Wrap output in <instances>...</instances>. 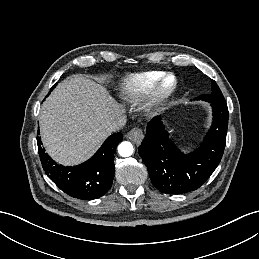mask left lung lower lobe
Returning <instances> with one entry per match:
<instances>
[{
	"instance_id": "1",
	"label": "left lung lower lobe",
	"mask_w": 259,
	"mask_h": 259,
	"mask_svg": "<svg viewBox=\"0 0 259 259\" xmlns=\"http://www.w3.org/2000/svg\"><path fill=\"white\" fill-rule=\"evenodd\" d=\"M211 106L212 126L201 146L190 154L180 152L169 139L159 117L148 123L138 151L152 184L161 192L182 194L196 190L219 165L226 144L229 112L226 102Z\"/></svg>"
}]
</instances>
